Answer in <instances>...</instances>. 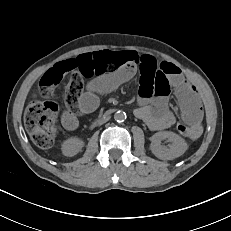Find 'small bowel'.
<instances>
[{
	"label": "small bowel",
	"instance_id": "small-bowel-1",
	"mask_svg": "<svg viewBox=\"0 0 231 231\" xmlns=\"http://www.w3.org/2000/svg\"><path fill=\"white\" fill-rule=\"evenodd\" d=\"M137 71L140 85L135 115L153 131L171 127L176 119L168 107L167 97L173 88L178 94L184 120L192 125V138H198L202 132L203 114L197 96L184 86L187 80L177 66L166 61L158 62L151 55L131 50L85 53L56 64L42 80L54 86L65 74L70 75L66 109L61 120L67 130H74L79 124L78 113L94 111L99 94L116 89Z\"/></svg>",
	"mask_w": 231,
	"mask_h": 231
}]
</instances>
